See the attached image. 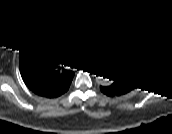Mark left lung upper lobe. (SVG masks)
<instances>
[{
	"label": "left lung upper lobe",
	"instance_id": "obj_1",
	"mask_svg": "<svg viewBox=\"0 0 172 134\" xmlns=\"http://www.w3.org/2000/svg\"><path fill=\"white\" fill-rule=\"evenodd\" d=\"M110 73L113 83L100 89L110 95H121L138 87L145 78L146 70L137 53L119 45L110 58Z\"/></svg>",
	"mask_w": 172,
	"mask_h": 134
}]
</instances>
